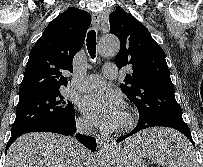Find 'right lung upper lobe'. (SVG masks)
Masks as SVG:
<instances>
[{
    "instance_id": "1",
    "label": "right lung upper lobe",
    "mask_w": 203,
    "mask_h": 167,
    "mask_svg": "<svg viewBox=\"0 0 203 167\" xmlns=\"http://www.w3.org/2000/svg\"><path fill=\"white\" fill-rule=\"evenodd\" d=\"M90 23L89 13L69 8L48 24L30 52L19 102L67 85L62 74L73 71V57L82 48Z\"/></svg>"
}]
</instances>
